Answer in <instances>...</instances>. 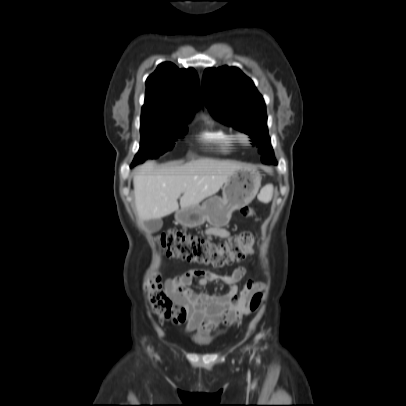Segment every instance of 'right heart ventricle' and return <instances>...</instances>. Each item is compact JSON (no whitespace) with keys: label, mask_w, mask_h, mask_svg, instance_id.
<instances>
[{"label":"right heart ventricle","mask_w":406,"mask_h":406,"mask_svg":"<svg viewBox=\"0 0 406 406\" xmlns=\"http://www.w3.org/2000/svg\"><path fill=\"white\" fill-rule=\"evenodd\" d=\"M200 139L204 143L215 146L223 151H229L237 144V139L233 132L225 128H216L210 122L201 132Z\"/></svg>","instance_id":"e07e8e85"}]
</instances>
